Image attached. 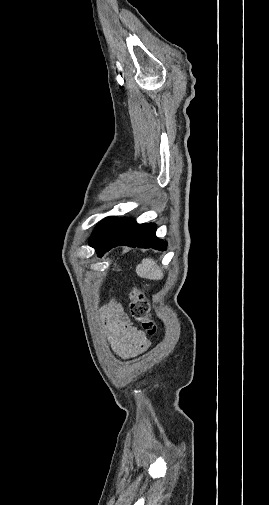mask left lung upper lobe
I'll list each match as a JSON object with an SVG mask.
<instances>
[{"label": "left lung upper lobe", "instance_id": "obj_1", "mask_svg": "<svg viewBox=\"0 0 269 505\" xmlns=\"http://www.w3.org/2000/svg\"><path fill=\"white\" fill-rule=\"evenodd\" d=\"M117 217L112 216V217H107L103 219L100 224L96 227L95 231L93 232V235L90 239V245L93 246L97 243H99L109 232V230L112 228L114 223L116 222Z\"/></svg>", "mask_w": 269, "mask_h": 505}]
</instances>
